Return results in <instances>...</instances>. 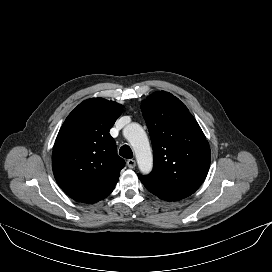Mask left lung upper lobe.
<instances>
[{
    "label": "left lung upper lobe",
    "mask_w": 272,
    "mask_h": 272,
    "mask_svg": "<svg viewBox=\"0 0 272 272\" xmlns=\"http://www.w3.org/2000/svg\"><path fill=\"white\" fill-rule=\"evenodd\" d=\"M152 141L154 166L138 175L144 186L166 201L193 194L205 180L210 166V147L187 107L174 95L158 91L141 103Z\"/></svg>",
    "instance_id": "left-lung-upper-lobe-1"
}]
</instances>
